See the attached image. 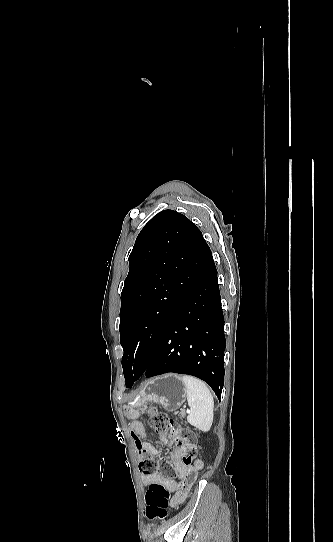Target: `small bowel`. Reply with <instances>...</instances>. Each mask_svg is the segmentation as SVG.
Wrapping results in <instances>:
<instances>
[{"instance_id":"1","label":"small bowel","mask_w":333,"mask_h":542,"mask_svg":"<svg viewBox=\"0 0 333 542\" xmlns=\"http://www.w3.org/2000/svg\"><path fill=\"white\" fill-rule=\"evenodd\" d=\"M130 428L137 450L140 453H143L141 457L143 462H150L151 458H155L160 455V451L147 440L144 425L140 420L134 419L130 425ZM159 440L163 444L169 445L173 449V453L171 455V463L177 476L180 479L184 480L188 478H192L193 481L196 480L198 471L203 467V462L197 460L195 461L194 466H189L183 461L187 454L183 451V449L179 446L177 442L163 436H160ZM142 482L146 486L152 484H161L165 486L170 492L174 493L171 500V504L173 506H177L178 504H180L187 495L181 492L179 484L175 480L163 477L160 474L144 476L142 478Z\"/></svg>"}]
</instances>
